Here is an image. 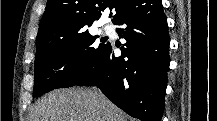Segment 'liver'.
Wrapping results in <instances>:
<instances>
[{"mask_svg": "<svg viewBox=\"0 0 217 121\" xmlns=\"http://www.w3.org/2000/svg\"><path fill=\"white\" fill-rule=\"evenodd\" d=\"M32 121H126L125 114L95 89H61L41 98Z\"/></svg>", "mask_w": 217, "mask_h": 121, "instance_id": "1", "label": "liver"}]
</instances>
